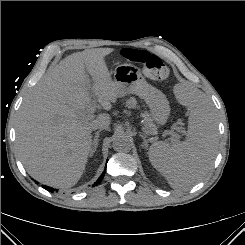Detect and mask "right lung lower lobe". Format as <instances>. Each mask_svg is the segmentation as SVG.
<instances>
[{
	"label": "right lung lower lobe",
	"mask_w": 245,
	"mask_h": 245,
	"mask_svg": "<svg viewBox=\"0 0 245 245\" xmlns=\"http://www.w3.org/2000/svg\"><path fill=\"white\" fill-rule=\"evenodd\" d=\"M105 171L102 173V175L99 177V179L93 184V187L96 186L97 184H99L103 177H104ZM44 188H46L48 191H53L54 189L48 186H44Z\"/></svg>",
	"instance_id": "1"
}]
</instances>
